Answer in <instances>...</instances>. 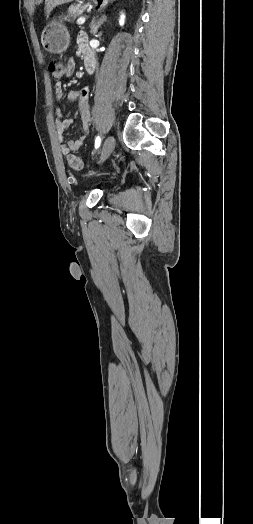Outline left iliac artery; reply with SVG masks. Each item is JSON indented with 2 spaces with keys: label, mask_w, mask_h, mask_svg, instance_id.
Segmentation results:
<instances>
[{
  "label": "left iliac artery",
  "mask_w": 253,
  "mask_h": 524,
  "mask_svg": "<svg viewBox=\"0 0 253 524\" xmlns=\"http://www.w3.org/2000/svg\"><path fill=\"white\" fill-rule=\"evenodd\" d=\"M101 138L98 136L95 140V148L97 149L100 146Z\"/></svg>",
  "instance_id": "left-iliac-artery-1"
}]
</instances>
